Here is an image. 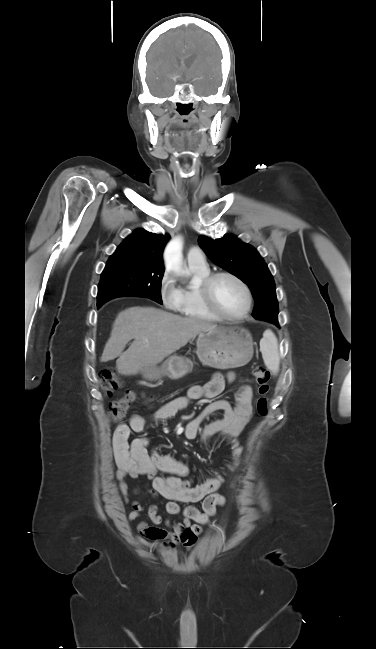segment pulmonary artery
<instances>
[{
    "mask_svg": "<svg viewBox=\"0 0 376 649\" xmlns=\"http://www.w3.org/2000/svg\"><path fill=\"white\" fill-rule=\"evenodd\" d=\"M187 261L189 265L205 266L207 265L203 251L197 247H191L187 253Z\"/></svg>",
    "mask_w": 376,
    "mask_h": 649,
    "instance_id": "1",
    "label": "pulmonary artery"
}]
</instances>
